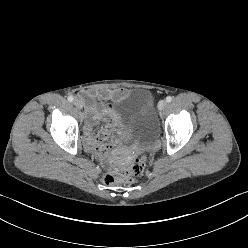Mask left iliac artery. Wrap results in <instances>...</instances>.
Segmentation results:
<instances>
[{
    "label": "left iliac artery",
    "instance_id": "left-iliac-artery-1",
    "mask_svg": "<svg viewBox=\"0 0 248 248\" xmlns=\"http://www.w3.org/2000/svg\"><path fill=\"white\" fill-rule=\"evenodd\" d=\"M166 101H167V102H171V101H172V97H171V96H167V97H166Z\"/></svg>",
    "mask_w": 248,
    "mask_h": 248
}]
</instances>
